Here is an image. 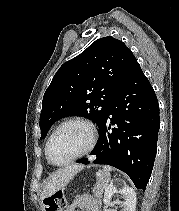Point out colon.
I'll use <instances>...</instances> for the list:
<instances>
[{
    "label": "colon",
    "mask_w": 179,
    "mask_h": 211,
    "mask_svg": "<svg viewBox=\"0 0 179 211\" xmlns=\"http://www.w3.org/2000/svg\"><path fill=\"white\" fill-rule=\"evenodd\" d=\"M45 211H61V209L66 204V199L63 192L58 191L48 197L43 201Z\"/></svg>",
    "instance_id": "5ec220e1"
}]
</instances>
